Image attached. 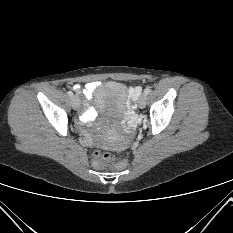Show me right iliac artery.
Wrapping results in <instances>:
<instances>
[{
  "label": "right iliac artery",
  "instance_id": "1",
  "mask_svg": "<svg viewBox=\"0 0 233 233\" xmlns=\"http://www.w3.org/2000/svg\"><path fill=\"white\" fill-rule=\"evenodd\" d=\"M67 94H68V96H70V97L73 96V92H72V91H68Z\"/></svg>",
  "mask_w": 233,
  "mask_h": 233
}]
</instances>
